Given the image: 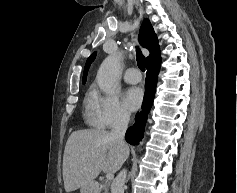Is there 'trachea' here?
<instances>
[{
	"label": "trachea",
	"mask_w": 237,
	"mask_h": 193,
	"mask_svg": "<svg viewBox=\"0 0 237 193\" xmlns=\"http://www.w3.org/2000/svg\"><path fill=\"white\" fill-rule=\"evenodd\" d=\"M136 52H137V65L140 68V70L144 72L146 66L145 58L138 47L136 48Z\"/></svg>",
	"instance_id": "trachea-1"
}]
</instances>
